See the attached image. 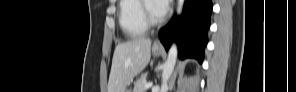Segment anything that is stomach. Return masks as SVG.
Returning a JSON list of instances; mask_svg holds the SVG:
<instances>
[{"instance_id": "stomach-1", "label": "stomach", "mask_w": 296, "mask_h": 92, "mask_svg": "<svg viewBox=\"0 0 296 92\" xmlns=\"http://www.w3.org/2000/svg\"><path fill=\"white\" fill-rule=\"evenodd\" d=\"M161 49H156V48H153L152 49V53L154 56H159L161 54ZM123 92H131L130 89H125Z\"/></svg>"}]
</instances>
